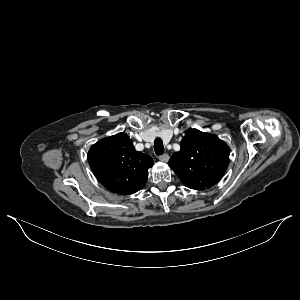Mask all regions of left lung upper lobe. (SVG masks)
Segmentation results:
<instances>
[{"label":"left lung upper lobe","instance_id":"1","mask_svg":"<svg viewBox=\"0 0 300 300\" xmlns=\"http://www.w3.org/2000/svg\"><path fill=\"white\" fill-rule=\"evenodd\" d=\"M180 146V151L172 155L168 165L186 187L204 190L222 178L230 154L225 142L215 135L189 129Z\"/></svg>","mask_w":300,"mask_h":300}]
</instances>
